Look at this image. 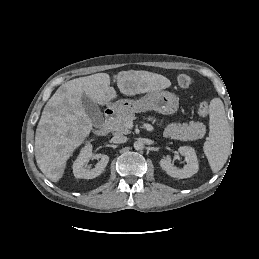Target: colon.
I'll return each instance as SVG.
<instances>
[{
	"mask_svg": "<svg viewBox=\"0 0 259 259\" xmlns=\"http://www.w3.org/2000/svg\"><path fill=\"white\" fill-rule=\"evenodd\" d=\"M177 82L181 88L186 89L194 83V79L187 74H180L177 78ZM198 113L201 116H206L209 113V103L207 101H202L199 104Z\"/></svg>",
	"mask_w": 259,
	"mask_h": 259,
	"instance_id": "colon-1",
	"label": "colon"
}]
</instances>
